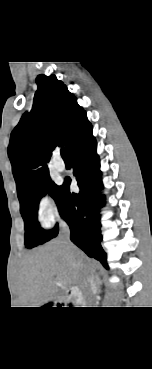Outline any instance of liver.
<instances>
[{
	"label": "liver",
	"instance_id": "liver-1",
	"mask_svg": "<svg viewBox=\"0 0 152 369\" xmlns=\"http://www.w3.org/2000/svg\"><path fill=\"white\" fill-rule=\"evenodd\" d=\"M96 266L76 247L75 254H70L59 239L48 242L23 260L19 275L21 304L41 307L53 301L58 292L57 280L68 287H80L84 271L93 274Z\"/></svg>",
	"mask_w": 152,
	"mask_h": 369
}]
</instances>
